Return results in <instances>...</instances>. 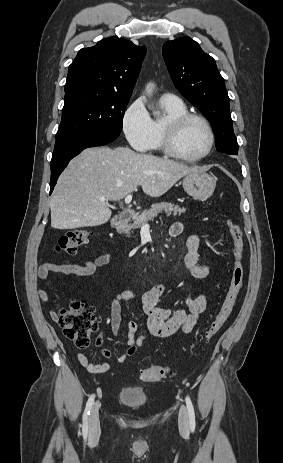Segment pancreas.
I'll list each match as a JSON object with an SVG mask.
<instances>
[{
  "instance_id": "cf45deb5",
  "label": "pancreas",
  "mask_w": 283,
  "mask_h": 463,
  "mask_svg": "<svg viewBox=\"0 0 283 463\" xmlns=\"http://www.w3.org/2000/svg\"><path fill=\"white\" fill-rule=\"evenodd\" d=\"M165 212L167 216H176L181 215L185 212V208H181L178 205H174L170 202H161L156 203L151 206L150 209L145 210L139 216H136L133 220V223L123 224L120 227V233L125 234L126 236H130L133 231L132 229H137L141 227L146 222L153 220L158 214Z\"/></svg>"
}]
</instances>
